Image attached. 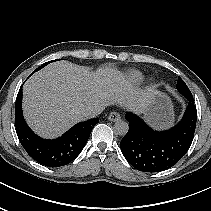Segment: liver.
I'll return each instance as SVG.
<instances>
[{
  "label": "liver",
  "mask_w": 211,
  "mask_h": 211,
  "mask_svg": "<svg viewBox=\"0 0 211 211\" xmlns=\"http://www.w3.org/2000/svg\"><path fill=\"white\" fill-rule=\"evenodd\" d=\"M154 88L139 90L124 74L112 68L90 72L68 61L47 65L23 86V111L29 126L46 138L59 136L77 122L86 120L91 108L119 104L144 113Z\"/></svg>",
  "instance_id": "liver-1"
}]
</instances>
